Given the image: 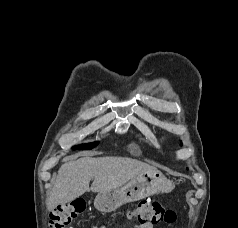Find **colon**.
Masks as SVG:
<instances>
[{"mask_svg":"<svg viewBox=\"0 0 238 228\" xmlns=\"http://www.w3.org/2000/svg\"><path fill=\"white\" fill-rule=\"evenodd\" d=\"M86 204L75 200L59 205L50 214L49 228H68L71 223L84 212ZM133 215L141 224L165 225L176 220V214L159 202L141 201L134 209Z\"/></svg>","mask_w":238,"mask_h":228,"instance_id":"1","label":"colon"}]
</instances>
